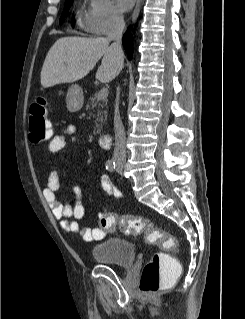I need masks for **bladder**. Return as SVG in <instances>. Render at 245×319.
<instances>
[{
    "label": "bladder",
    "instance_id": "obj_1",
    "mask_svg": "<svg viewBox=\"0 0 245 319\" xmlns=\"http://www.w3.org/2000/svg\"><path fill=\"white\" fill-rule=\"evenodd\" d=\"M91 254L98 263H111L126 267L134 263L135 246L125 239L111 237L94 245Z\"/></svg>",
    "mask_w": 245,
    "mask_h": 319
}]
</instances>
